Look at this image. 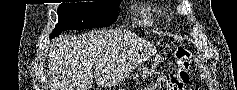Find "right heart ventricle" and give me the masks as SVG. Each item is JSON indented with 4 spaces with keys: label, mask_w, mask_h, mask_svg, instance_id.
<instances>
[{
    "label": "right heart ventricle",
    "mask_w": 237,
    "mask_h": 90,
    "mask_svg": "<svg viewBox=\"0 0 237 90\" xmlns=\"http://www.w3.org/2000/svg\"><path fill=\"white\" fill-rule=\"evenodd\" d=\"M138 11L143 12H133V16H142L138 21V25L141 27H151L159 22L157 18L149 16L150 10H163V7L160 6H148V7H138Z\"/></svg>",
    "instance_id": "obj_1"
}]
</instances>
